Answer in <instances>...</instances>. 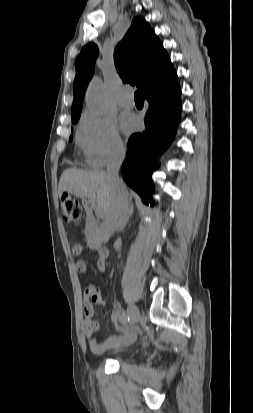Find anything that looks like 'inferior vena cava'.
Here are the masks:
<instances>
[{
	"label": "inferior vena cava",
	"instance_id": "obj_1",
	"mask_svg": "<svg viewBox=\"0 0 253 413\" xmlns=\"http://www.w3.org/2000/svg\"><path fill=\"white\" fill-rule=\"evenodd\" d=\"M125 152L124 147L117 148L107 165V177L111 182L114 197L100 229V236L104 241H107L113 232L121 227L128 211L125 184L118 174Z\"/></svg>",
	"mask_w": 253,
	"mask_h": 413
}]
</instances>
